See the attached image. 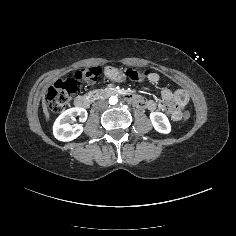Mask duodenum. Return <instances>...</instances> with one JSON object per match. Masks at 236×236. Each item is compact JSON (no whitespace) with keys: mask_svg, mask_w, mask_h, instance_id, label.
<instances>
[{"mask_svg":"<svg viewBox=\"0 0 236 236\" xmlns=\"http://www.w3.org/2000/svg\"><path fill=\"white\" fill-rule=\"evenodd\" d=\"M117 94H119V92L114 88H106L100 92L101 96H106V97L112 96V95H117ZM122 95L126 101L134 104L139 109H143L146 107H149L150 109L154 108L153 107L154 103H147L146 100H144L143 98L137 97V96L130 94V93H126V94H122ZM74 105L77 108L86 109L90 105V100L87 96L80 95L75 98ZM176 105H177V98L176 97L173 100L166 102V108L172 114V116H174L177 111Z\"/></svg>","mask_w":236,"mask_h":236,"instance_id":"duodenum-1","label":"duodenum"}]
</instances>
